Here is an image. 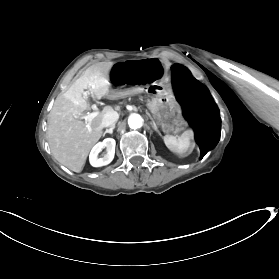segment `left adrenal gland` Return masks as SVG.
Here are the masks:
<instances>
[{
    "mask_svg": "<svg viewBox=\"0 0 279 279\" xmlns=\"http://www.w3.org/2000/svg\"><path fill=\"white\" fill-rule=\"evenodd\" d=\"M148 116H149V118L151 119V121L153 122L152 116H151L150 114H148ZM154 128H155V130H156L158 133H160L159 130H158L156 127H154Z\"/></svg>",
    "mask_w": 279,
    "mask_h": 279,
    "instance_id": "1",
    "label": "left adrenal gland"
}]
</instances>
